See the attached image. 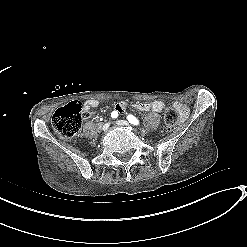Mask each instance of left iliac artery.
<instances>
[{
    "mask_svg": "<svg viewBox=\"0 0 247 247\" xmlns=\"http://www.w3.org/2000/svg\"><path fill=\"white\" fill-rule=\"evenodd\" d=\"M128 121L133 124V125H139V121L136 117H134L133 115H128L127 116Z\"/></svg>",
    "mask_w": 247,
    "mask_h": 247,
    "instance_id": "obj_1",
    "label": "left iliac artery"
}]
</instances>
